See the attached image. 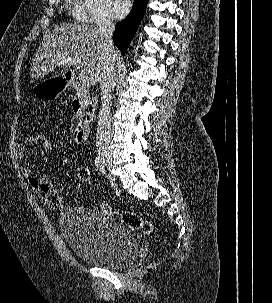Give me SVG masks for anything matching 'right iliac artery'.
<instances>
[{
    "label": "right iliac artery",
    "mask_w": 272,
    "mask_h": 303,
    "mask_svg": "<svg viewBox=\"0 0 272 303\" xmlns=\"http://www.w3.org/2000/svg\"><path fill=\"white\" fill-rule=\"evenodd\" d=\"M94 163H95L96 168H97L99 171H101L103 174H106V173H105V169H104V165H103L102 160L100 159L99 156H97V157L95 158Z\"/></svg>",
    "instance_id": "1"
}]
</instances>
